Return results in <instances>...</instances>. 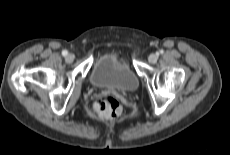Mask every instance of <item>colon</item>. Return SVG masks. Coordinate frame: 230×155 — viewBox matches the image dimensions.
<instances>
[{"mask_svg": "<svg viewBox=\"0 0 230 155\" xmlns=\"http://www.w3.org/2000/svg\"><path fill=\"white\" fill-rule=\"evenodd\" d=\"M98 114L106 119L118 117L122 112L119 101L112 95H103L95 103Z\"/></svg>", "mask_w": 230, "mask_h": 155, "instance_id": "colon-1", "label": "colon"}]
</instances>
